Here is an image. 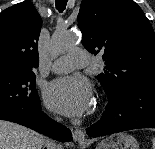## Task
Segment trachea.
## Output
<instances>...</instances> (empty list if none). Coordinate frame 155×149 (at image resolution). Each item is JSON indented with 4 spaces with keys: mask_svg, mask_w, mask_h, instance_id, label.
I'll use <instances>...</instances> for the list:
<instances>
[{
    "mask_svg": "<svg viewBox=\"0 0 155 149\" xmlns=\"http://www.w3.org/2000/svg\"><path fill=\"white\" fill-rule=\"evenodd\" d=\"M67 1L68 0H56L55 1L56 9L59 12H63L66 8Z\"/></svg>",
    "mask_w": 155,
    "mask_h": 149,
    "instance_id": "1",
    "label": "trachea"
}]
</instances>
